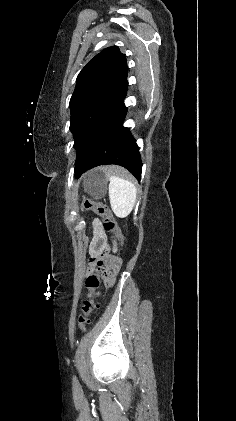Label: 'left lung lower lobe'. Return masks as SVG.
<instances>
[{"label":"left lung lower lobe","mask_w":236,"mask_h":421,"mask_svg":"<svg viewBox=\"0 0 236 421\" xmlns=\"http://www.w3.org/2000/svg\"><path fill=\"white\" fill-rule=\"evenodd\" d=\"M127 89V88H126ZM124 93L112 103L92 128L75 163V177L99 165L117 164L128 169L138 181L142 162L136 140L123 126L127 108Z\"/></svg>","instance_id":"1"}]
</instances>
